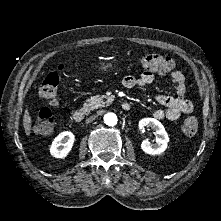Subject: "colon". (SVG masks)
<instances>
[{
	"instance_id": "obj_1",
	"label": "colon",
	"mask_w": 221,
	"mask_h": 221,
	"mask_svg": "<svg viewBox=\"0 0 221 221\" xmlns=\"http://www.w3.org/2000/svg\"><path fill=\"white\" fill-rule=\"evenodd\" d=\"M141 67L149 73L165 74L174 67L171 58L160 54H150L145 56L141 62ZM59 77L56 73L48 74L42 81L39 94L47 99L52 106L59 104L58 100ZM199 128L198 120L195 117H187L181 124V130L186 136H194ZM54 119L50 110L43 109L37 116L34 123V130L38 135L47 136L53 132Z\"/></svg>"
}]
</instances>
